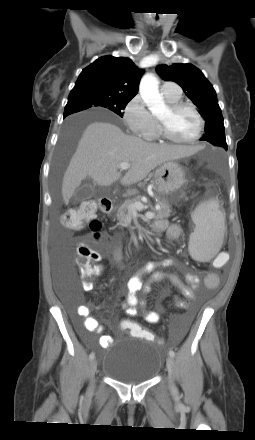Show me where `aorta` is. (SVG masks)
Wrapping results in <instances>:
<instances>
[{"instance_id": "1", "label": "aorta", "mask_w": 255, "mask_h": 440, "mask_svg": "<svg viewBox=\"0 0 255 440\" xmlns=\"http://www.w3.org/2000/svg\"><path fill=\"white\" fill-rule=\"evenodd\" d=\"M139 93L153 115H159L166 110V105L159 93V81L153 74L147 73L142 77Z\"/></svg>"}]
</instances>
